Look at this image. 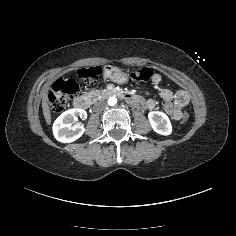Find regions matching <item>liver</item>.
Returning a JSON list of instances; mask_svg holds the SVG:
<instances>
[{
    "instance_id": "6515ba94",
    "label": "liver",
    "mask_w": 236,
    "mask_h": 236,
    "mask_svg": "<svg viewBox=\"0 0 236 236\" xmlns=\"http://www.w3.org/2000/svg\"><path fill=\"white\" fill-rule=\"evenodd\" d=\"M42 109H43V115L45 117L46 123L48 125H50L51 124V113H50V109H49V105H48L47 93H44L43 97H42Z\"/></svg>"
}]
</instances>
